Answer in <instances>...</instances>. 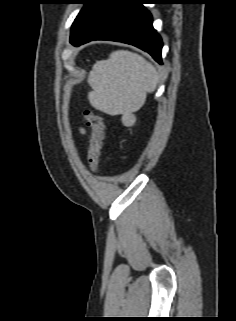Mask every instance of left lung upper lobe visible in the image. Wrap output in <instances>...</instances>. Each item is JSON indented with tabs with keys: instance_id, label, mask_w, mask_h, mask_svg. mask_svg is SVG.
I'll return each instance as SVG.
<instances>
[{
	"instance_id": "1",
	"label": "left lung upper lobe",
	"mask_w": 236,
	"mask_h": 321,
	"mask_svg": "<svg viewBox=\"0 0 236 321\" xmlns=\"http://www.w3.org/2000/svg\"><path fill=\"white\" fill-rule=\"evenodd\" d=\"M93 0H79V3L85 4V6L81 9L79 12L78 16L74 20L72 24V29H71V37L70 39L75 35L76 31L78 30L80 23L82 22L85 14L87 13L88 9L90 8Z\"/></svg>"
}]
</instances>
